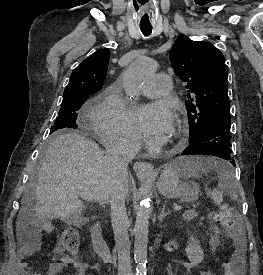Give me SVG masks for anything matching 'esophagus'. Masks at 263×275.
<instances>
[{
    "instance_id": "1",
    "label": "esophagus",
    "mask_w": 263,
    "mask_h": 275,
    "mask_svg": "<svg viewBox=\"0 0 263 275\" xmlns=\"http://www.w3.org/2000/svg\"><path fill=\"white\" fill-rule=\"evenodd\" d=\"M133 170L138 177H146L153 171V165L149 162L137 161L133 165Z\"/></svg>"
}]
</instances>
